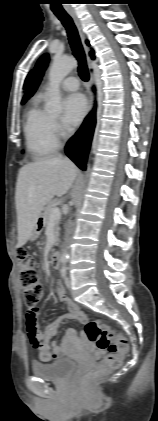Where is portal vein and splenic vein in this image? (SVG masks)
Masks as SVG:
<instances>
[{
	"label": "portal vein and splenic vein",
	"instance_id": "obj_1",
	"mask_svg": "<svg viewBox=\"0 0 158 421\" xmlns=\"http://www.w3.org/2000/svg\"><path fill=\"white\" fill-rule=\"evenodd\" d=\"M61 216L60 209L58 207H54L50 213V219L56 220Z\"/></svg>",
	"mask_w": 158,
	"mask_h": 421
}]
</instances>
